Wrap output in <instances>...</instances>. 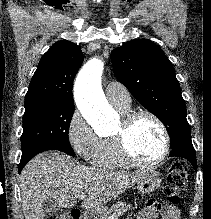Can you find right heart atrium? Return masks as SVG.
<instances>
[{"label":"right heart atrium","mask_w":211,"mask_h":219,"mask_svg":"<svg viewBox=\"0 0 211 219\" xmlns=\"http://www.w3.org/2000/svg\"><path fill=\"white\" fill-rule=\"evenodd\" d=\"M67 141L73 151L83 159H90L99 137L78 110H74L67 124Z\"/></svg>","instance_id":"right-heart-atrium-1"}]
</instances>
